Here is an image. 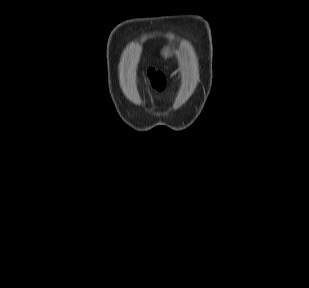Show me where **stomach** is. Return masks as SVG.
Here are the masks:
<instances>
[{"label":"stomach","mask_w":309,"mask_h":288,"mask_svg":"<svg viewBox=\"0 0 309 288\" xmlns=\"http://www.w3.org/2000/svg\"><path fill=\"white\" fill-rule=\"evenodd\" d=\"M161 55L163 56V57H169L170 56V52H169V50L166 48V49H163L162 50V52H161Z\"/></svg>","instance_id":"stomach-1"}]
</instances>
